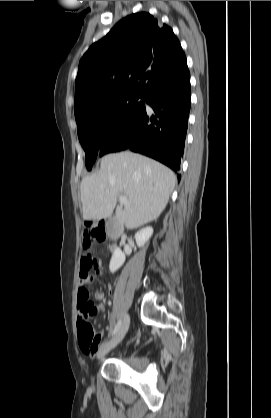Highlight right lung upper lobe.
I'll return each instance as SVG.
<instances>
[{"label": "right lung upper lobe", "instance_id": "obj_1", "mask_svg": "<svg viewBox=\"0 0 271 418\" xmlns=\"http://www.w3.org/2000/svg\"><path fill=\"white\" fill-rule=\"evenodd\" d=\"M186 62L173 30L147 12L120 20L79 63L75 116L123 93L148 95Z\"/></svg>", "mask_w": 271, "mask_h": 418}]
</instances>
